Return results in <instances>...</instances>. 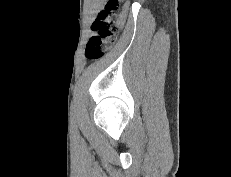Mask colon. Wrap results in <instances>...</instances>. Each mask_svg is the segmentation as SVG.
Segmentation results:
<instances>
[{"instance_id":"5ec220e1","label":"colon","mask_w":231,"mask_h":177,"mask_svg":"<svg viewBox=\"0 0 231 177\" xmlns=\"http://www.w3.org/2000/svg\"><path fill=\"white\" fill-rule=\"evenodd\" d=\"M119 2L120 0H107L92 23L94 34L90 37L85 51V56L88 59L102 58L114 45L117 38V26L114 18L119 9Z\"/></svg>"}]
</instances>
